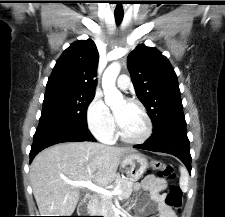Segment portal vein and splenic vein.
I'll use <instances>...</instances> for the list:
<instances>
[{"label":"portal vein and splenic vein","mask_w":225,"mask_h":217,"mask_svg":"<svg viewBox=\"0 0 225 217\" xmlns=\"http://www.w3.org/2000/svg\"><path fill=\"white\" fill-rule=\"evenodd\" d=\"M69 184H71L72 186H79V187H85L88 188L89 190L95 191L99 194H103L105 196L108 197H112L114 195H120L122 193L121 190L119 189H115V190H107L106 188L97 186L95 184H93L90 180L88 181H67Z\"/></svg>","instance_id":"portal-vein-and-splenic-vein-1"}]
</instances>
